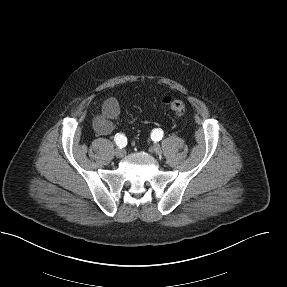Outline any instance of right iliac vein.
<instances>
[{
  "label": "right iliac vein",
  "mask_w": 287,
  "mask_h": 287,
  "mask_svg": "<svg viewBox=\"0 0 287 287\" xmlns=\"http://www.w3.org/2000/svg\"><path fill=\"white\" fill-rule=\"evenodd\" d=\"M125 154H126V151L124 149L118 148V149L115 150V156L117 158H122V157L125 156Z\"/></svg>",
  "instance_id": "1"
}]
</instances>
